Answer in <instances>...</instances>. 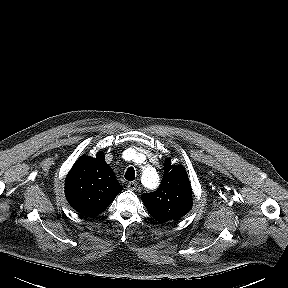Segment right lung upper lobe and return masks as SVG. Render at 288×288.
<instances>
[{"instance_id":"obj_1","label":"right lung upper lobe","mask_w":288,"mask_h":288,"mask_svg":"<svg viewBox=\"0 0 288 288\" xmlns=\"http://www.w3.org/2000/svg\"><path fill=\"white\" fill-rule=\"evenodd\" d=\"M122 190L101 152L95 158L82 156L69 172L65 192L70 205L92 217L102 213Z\"/></svg>"}]
</instances>
